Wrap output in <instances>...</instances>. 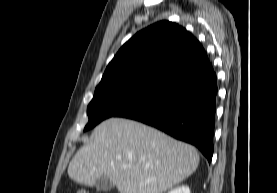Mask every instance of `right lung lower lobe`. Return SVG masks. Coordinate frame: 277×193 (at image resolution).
Listing matches in <instances>:
<instances>
[{
  "mask_svg": "<svg viewBox=\"0 0 277 193\" xmlns=\"http://www.w3.org/2000/svg\"><path fill=\"white\" fill-rule=\"evenodd\" d=\"M216 74L210 63L175 78L116 117L137 120L213 156Z\"/></svg>",
  "mask_w": 277,
  "mask_h": 193,
  "instance_id": "98d812e1",
  "label": "right lung lower lobe"
}]
</instances>
